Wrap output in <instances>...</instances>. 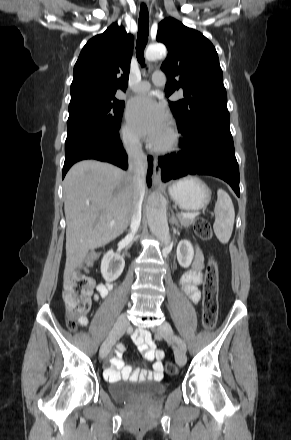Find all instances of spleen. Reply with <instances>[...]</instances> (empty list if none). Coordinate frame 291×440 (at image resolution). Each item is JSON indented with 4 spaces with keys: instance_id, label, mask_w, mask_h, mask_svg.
<instances>
[{
    "instance_id": "3e777b00",
    "label": "spleen",
    "mask_w": 291,
    "mask_h": 440,
    "mask_svg": "<svg viewBox=\"0 0 291 440\" xmlns=\"http://www.w3.org/2000/svg\"><path fill=\"white\" fill-rule=\"evenodd\" d=\"M214 213V233L221 243L226 244L232 235L235 211L230 196L223 189H218L217 191Z\"/></svg>"
}]
</instances>
